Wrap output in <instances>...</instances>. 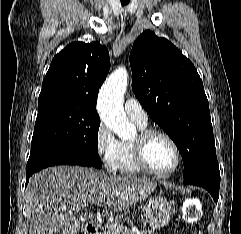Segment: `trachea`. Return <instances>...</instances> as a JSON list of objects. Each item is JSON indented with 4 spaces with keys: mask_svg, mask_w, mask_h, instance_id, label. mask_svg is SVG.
<instances>
[{
    "mask_svg": "<svg viewBox=\"0 0 241 234\" xmlns=\"http://www.w3.org/2000/svg\"><path fill=\"white\" fill-rule=\"evenodd\" d=\"M121 2H122L123 5H128L130 0H121Z\"/></svg>",
    "mask_w": 241,
    "mask_h": 234,
    "instance_id": "obj_1",
    "label": "trachea"
}]
</instances>
